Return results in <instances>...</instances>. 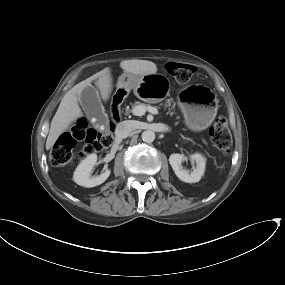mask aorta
<instances>
[{"label": "aorta", "mask_w": 285, "mask_h": 285, "mask_svg": "<svg viewBox=\"0 0 285 285\" xmlns=\"http://www.w3.org/2000/svg\"><path fill=\"white\" fill-rule=\"evenodd\" d=\"M141 138L146 143H151L155 140V133L152 130H146L142 133Z\"/></svg>", "instance_id": "762f6f07"}]
</instances>
